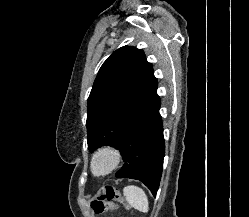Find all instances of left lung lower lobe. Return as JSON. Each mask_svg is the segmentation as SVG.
<instances>
[{"label": "left lung lower lobe", "instance_id": "obj_1", "mask_svg": "<svg viewBox=\"0 0 249 217\" xmlns=\"http://www.w3.org/2000/svg\"><path fill=\"white\" fill-rule=\"evenodd\" d=\"M158 84L130 111L120 127V150L125 164L117 178L143 182L156 196L163 167L165 145L159 114Z\"/></svg>", "mask_w": 249, "mask_h": 217}]
</instances>
